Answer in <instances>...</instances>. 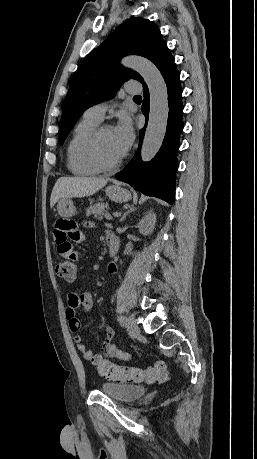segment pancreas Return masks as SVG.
<instances>
[{"label": "pancreas", "instance_id": "1", "mask_svg": "<svg viewBox=\"0 0 257 459\" xmlns=\"http://www.w3.org/2000/svg\"><path fill=\"white\" fill-rule=\"evenodd\" d=\"M108 209H109V205L107 203L105 204L103 202H98V203H95L94 205L89 206L86 209V215L97 218L99 216H102Z\"/></svg>", "mask_w": 257, "mask_h": 459}]
</instances>
